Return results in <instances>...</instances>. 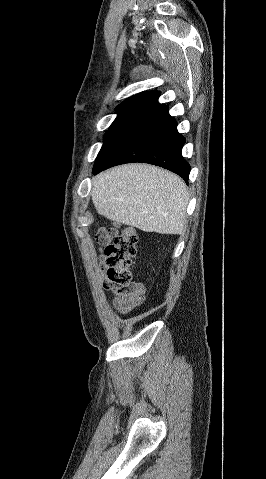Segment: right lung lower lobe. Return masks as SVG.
<instances>
[{
    "label": "right lung lower lobe",
    "mask_w": 266,
    "mask_h": 479,
    "mask_svg": "<svg viewBox=\"0 0 266 479\" xmlns=\"http://www.w3.org/2000/svg\"><path fill=\"white\" fill-rule=\"evenodd\" d=\"M185 138L168 106L158 101L136 114L96 158L93 173L115 165L141 162L161 166L181 176L186 183L190 165L182 156Z\"/></svg>",
    "instance_id": "obj_1"
}]
</instances>
